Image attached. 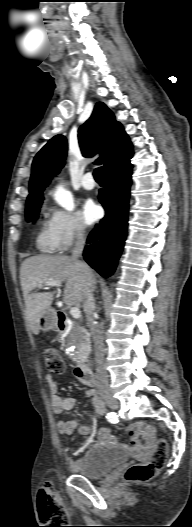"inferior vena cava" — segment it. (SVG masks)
I'll use <instances>...</instances> for the list:
<instances>
[{
    "mask_svg": "<svg viewBox=\"0 0 192 527\" xmlns=\"http://www.w3.org/2000/svg\"><path fill=\"white\" fill-rule=\"evenodd\" d=\"M76 241L74 248L72 250V258L78 259L82 256L84 249V232L82 227H78L76 230ZM84 269H87V265H83ZM86 273V272H85ZM87 275V274H86ZM87 288L85 292V299L83 303L84 311L86 313L87 327L89 328L90 335L94 342V351H95V362H96V381L97 386L107 387L108 385V375L104 365V343L101 330L94 320V311H95V300L93 297V287L87 281Z\"/></svg>",
    "mask_w": 192,
    "mask_h": 527,
    "instance_id": "obj_1",
    "label": "inferior vena cava"
}]
</instances>
